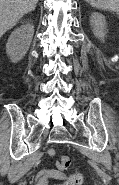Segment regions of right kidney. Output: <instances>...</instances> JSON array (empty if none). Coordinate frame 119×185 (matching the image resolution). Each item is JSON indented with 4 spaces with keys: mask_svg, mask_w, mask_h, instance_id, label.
<instances>
[{
    "mask_svg": "<svg viewBox=\"0 0 119 185\" xmlns=\"http://www.w3.org/2000/svg\"><path fill=\"white\" fill-rule=\"evenodd\" d=\"M34 34V26L31 23L21 25L15 29L6 44V53L11 61L16 63L27 53Z\"/></svg>",
    "mask_w": 119,
    "mask_h": 185,
    "instance_id": "right-kidney-1",
    "label": "right kidney"
}]
</instances>
